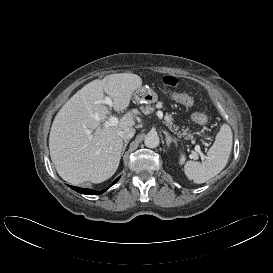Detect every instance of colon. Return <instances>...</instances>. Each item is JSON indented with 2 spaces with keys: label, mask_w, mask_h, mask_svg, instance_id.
<instances>
[{
  "label": "colon",
  "mask_w": 273,
  "mask_h": 273,
  "mask_svg": "<svg viewBox=\"0 0 273 273\" xmlns=\"http://www.w3.org/2000/svg\"><path fill=\"white\" fill-rule=\"evenodd\" d=\"M163 81L169 87L177 85V79L173 76H166ZM174 97L179 103L185 106H191L194 102L192 96L185 92H177L174 94ZM193 120L199 124H205L208 121V117L203 113L197 112L193 114Z\"/></svg>",
  "instance_id": "5ec220e1"
}]
</instances>
